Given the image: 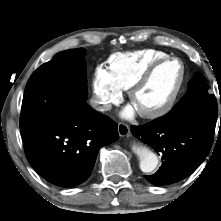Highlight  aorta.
<instances>
[{"instance_id": "1", "label": "aorta", "mask_w": 221, "mask_h": 221, "mask_svg": "<svg viewBox=\"0 0 221 221\" xmlns=\"http://www.w3.org/2000/svg\"><path fill=\"white\" fill-rule=\"evenodd\" d=\"M133 151L139 157V166L142 172L149 173L155 170L158 158L152 151L139 145H134Z\"/></svg>"}]
</instances>
